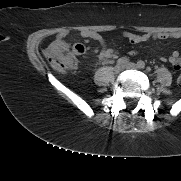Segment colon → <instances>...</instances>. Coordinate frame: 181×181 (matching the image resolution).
Here are the masks:
<instances>
[{"label": "colon", "instance_id": "obj_1", "mask_svg": "<svg viewBox=\"0 0 181 181\" xmlns=\"http://www.w3.org/2000/svg\"><path fill=\"white\" fill-rule=\"evenodd\" d=\"M84 51V46L80 44L75 45L71 50L55 47L48 49L46 57L56 71L64 73L75 67V56L81 55ZM178 84L181 86V74L178 77Z\"/></svg>", "mask_w": 181, "mask_h": 181}]
</instances>
